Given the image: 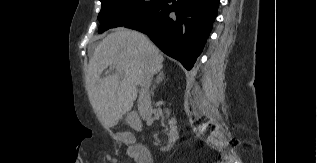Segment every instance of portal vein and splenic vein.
I'll return each instance as SVG.
<instances>
[{"label":"portal vein and splenic vein","mask_w":317,"mask_h":163,"mask_svg":"<svg viewBox=\"0 0 317 163\" xmlns=\"http://www.w3.org/2000/svg\"><path fill=\"white\" fill-rule=\"evenodd\" d=\"M113 68L115 69L116 74L121 75L122 74V70L120 65L116 64L113 66Z\"/></svg>","instance_id":"obj_1"}]
</instances>
